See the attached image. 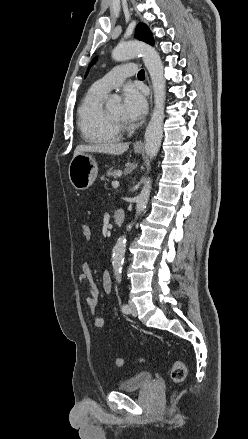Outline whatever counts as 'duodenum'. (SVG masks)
I'll list each match as a JSON object with an SVG mask.
<instances>
[{"mask_svg": "<svg viewBox=\"0 0 248 439\" xmlns=\"http://www.w3.org/2000/svg\"><path fill=\"white\" fill-rule=\"evenodd\" d=\"M113 219H114L115 225H117V226L122 225V223L124 222V219H125V213H124L123 209H120V208L115 209L114 214H113Z\"/></svg>", "mask_w": 248, "mask_h": 439, "instance_id": "obj_1", "label": "duodenum"}]
</instances>
